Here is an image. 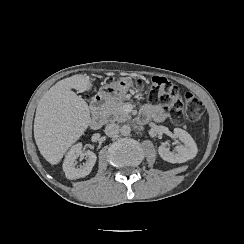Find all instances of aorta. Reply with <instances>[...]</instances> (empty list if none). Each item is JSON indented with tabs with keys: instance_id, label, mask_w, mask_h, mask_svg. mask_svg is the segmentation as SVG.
Returning a JSON list of instances; mask_svg holds the SVG:
<instances>
[{
	"instance_id": "1",
	"label": "aorta",
	"mask_w": 244,
	"mask_h": 244,
	"mask_svg": "<svg viewBox=\"0 0 244 244\" xmlns=\"http://www.w3.org/2000/svg\"><path fill=\"white\" fill-rule=\"evenodd\" d=\"M120 133L123 135V136H128L130 135L131 133V128L129 125H123L121 128H120Z\"/></svg>"
}]
</instances>
